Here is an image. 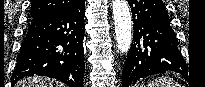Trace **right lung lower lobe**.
Segmentation results:
<instances>
[{
  "label": "right lung lower lobe",
  "instance_id": "right-lung-lower-lobe-1",
  "mask_svg": "<svg viewBox=\"0 0 205 87\" xmlns=\"http://www.w3.org/2000/svg\"><path fill=\"white\" fill-rule=\"evenodd\" d=\"M84 10L82 0L64 11L30 21L11 86L35 74L55 78L69 87H83Z\"/></svg>",
  "mask_w": 205,
  "mask_h": 87
}]
</instances>
